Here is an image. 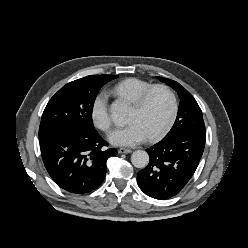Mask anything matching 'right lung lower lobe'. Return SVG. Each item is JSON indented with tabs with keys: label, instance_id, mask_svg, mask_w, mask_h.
I'll return each mask as SVG.
<instances>
[{
	"label": "right lung lower lobe",
	"instance_id": "right-lung-lower-lobe-1",
	"mask_svg": "<svg viewBox=\"0 0 248 248\" xmlns=\"http://www.w3.org/2000/svg\"><path fill=\"white\" fill-rule=\"evenodd\" d=\"M40 142L41 155L53 181L62 189L75 194L93 191L106 176V162L117 154L107 149V142L97 131L64 128Z\"/></svg>",
	"mask_w": 248,
	"mask_h": 248
}]
</instances>
